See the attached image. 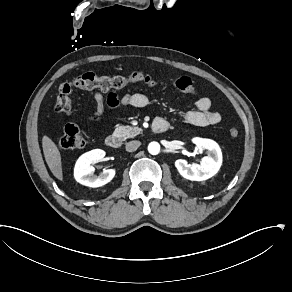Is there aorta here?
I'll list each match as a JSON object with an SVG mask.
<instances>
[{"mask_svg":"<svg viewBox=\"0 0 292 292\" xmlns=\"http://www.w3.org/2000/svg\"><path fill=\"white\" fill-rule=\"evenodd\" d=\"M148 151L151 155H157L160 152V145L157 142H152L148 146Z\"/></svg>","mask_w":292,"mask_h":292,"instance_id":"obj_1","label":"aorta"}]
</instances>
